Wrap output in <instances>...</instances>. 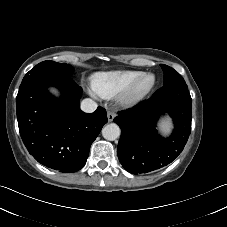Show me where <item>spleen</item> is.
I'll return each mask as SVG.
<instances>
[{"label":"spleen","instance_id":"spleen-1","mask_svg":"<svg viewBox=\"0 0 227 227\" xmlns=\"http://www.w3.org/2000/svg\"><path fill=\"white\" fill-rule=\"evenodd\" d=\"M161 127H162V129H163L164 132H167V131L169 130V128H170V123H169V121H164V122L162 123Z\"/></svg>","mask_w":227,"mask_h":227}]
</instances>
